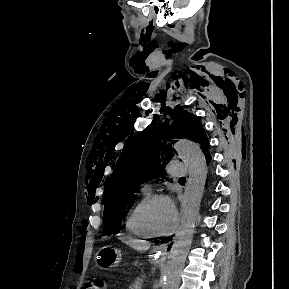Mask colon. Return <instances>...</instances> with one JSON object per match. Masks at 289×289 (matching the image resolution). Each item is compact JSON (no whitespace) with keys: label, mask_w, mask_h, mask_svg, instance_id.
Wrapping results in <instances>:
<instances>
[{"label":"colon","mask_w":289,"mask_h":289,"mask_svg":"<svg viewBox=\"0 0 289 289\" xmlns=\"http://www.w3.org/2000/svg\"><path fill=\"white\" fill-rule=\"evenodd\" d=\"M86 289H105L102 285V283L99 280H92L90 281L87 286Z\"/></svg>","instance_id":"colon-1"}]
</instances>
